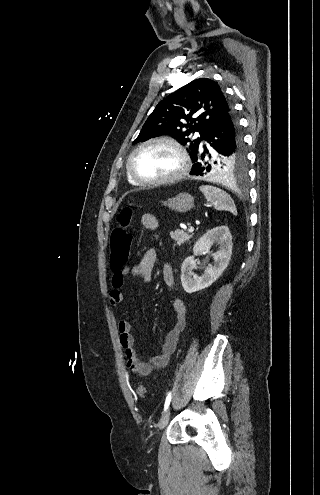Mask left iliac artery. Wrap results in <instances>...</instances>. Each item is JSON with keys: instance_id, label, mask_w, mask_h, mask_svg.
<instances>
[{"instance_id": "left-iliac-artery-1", "label": "left iliac artery", "mask_w": 320, "mask_h": 495, "mask_svg": "<svg viewBox=\"0 0 320 495\" xmlns=\"http://www.w3.org/2000/svg\"><path fill=\"white\" fill-rule=\"evenodd\" d=\"M171 398H172V395H171V392H169L167 397H166V401H165V405H164V411L167 410V408L170 404Z\"/></svg>"}]
</instances>
